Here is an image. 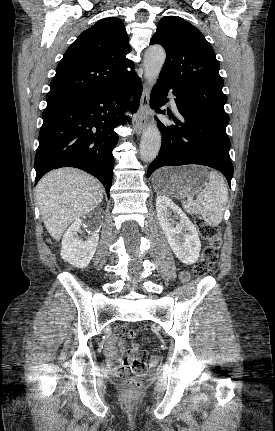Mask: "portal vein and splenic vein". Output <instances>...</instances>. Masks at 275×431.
<instances>
[{"instance_id":"portal-vein-and-splenic-vein-1","label":"portal vein and splenic vein","mask_w":275,"mask_h":431,"mask_svg":"<svg viewBox=\"0 0 275 431\" xmlns=\"http://www.w3.org/2000/svg\"><path fill=\"white\" fill-rule=\"evenodd\" d=\"M187 200H188L189 202H192V201H193V197H192V196H188V197H187Z\"/></svg>"}]
</instances>
